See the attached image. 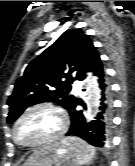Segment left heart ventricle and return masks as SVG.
<instances>
[{
  "label": "left heart ventricle",
  "mask_w": 135,
  "mask_h": 166,
  "mask_svg": "<svg viewBox=\"0 0 135 166\" xmlns=\"http://www.w3.org/2000/svg\"><path fill=\"white\" fill-rule=\"evenodd\" d=\"M59 125L57 115L46 109L28 114L18 125L17 139L22 143H34L53 135Z\"/></svg>",
  "instance_id": "left-heart-ventricle-1"
}]
</instances>
